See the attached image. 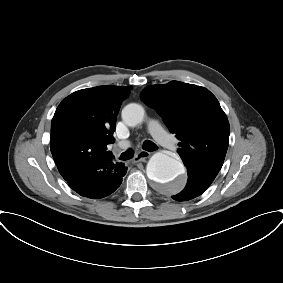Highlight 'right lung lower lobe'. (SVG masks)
I'll list each match as a JSON object with an SVG mask.
<instances>
[{
    "label": "right lung lower lobe",
    "instance_id": "1",
    "mask_svg": "<svg viewBox=\"0 0 283 283\" xmlns=\"http://www.w3.org/2000/svg\"><path fill=\"white\" fill-rule=\"evenodd\" d=\"M126 170L124 164L105 158L75 171L65 180L81 196L98 199L110 195L120 186Z\"/></svg>",
    "mask_w": 283,
    "mask_h": 283
}]
</instances>
